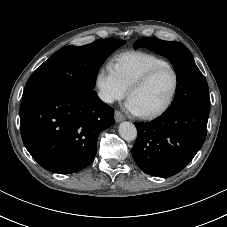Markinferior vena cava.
Segmentation results:
<instances>
[{
  "instance_id": "1",
  "label": "inferior vena cava",
  "mask_w": 227,
  "mask_h": 227,
  "mask_svg": "<svg viewBox=\"0 0 227 227\" xmlns=\"http://www.w3.org/2000/svg\"><path fill=\"white\" fill-rule=\"evenodd\" d=\"M99 97L102 101L106 102V103H112L114 101L113 96H111L108 93L105 92H99Z\"/></svg>"
}]
</instances>
